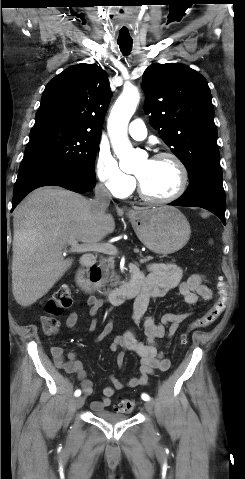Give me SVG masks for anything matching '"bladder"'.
Masks as SVG:
<instances>
[{
    "mask_svg": "<svg viewBox=\"0 0 245 479\" xmlns=\"http://www.w3.org/2000/svg\"><path fill=\"white\" fill-rule=\"evenodd\" d=\"M95 416L97 418L112 421V422H120V421H124V420L129 418V415L114 413V412H110V411L99 412Z\"/></svg>",
    "mask_w": 245,
    "mask_h": 479,
    "instance_id": "31cf9c89",
    "label": "bladder"
}]
</instances>
